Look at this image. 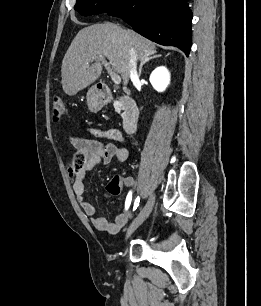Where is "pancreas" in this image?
<instances>
[{"label": "pancreas", "instance_id": "cf45deb5", "mask_svg": "<svg viewBox=\"0 0 261 306\" xmlns=\"http://www.w3.org/2000/svg\"><path fill=\"white\" fill-rule=\"evenodd\" d=\"M122 106V103L121 102H117L115 103V108L118 109Z\"/></svg>", "mask_w": 261, "mask_h": 306}]
</instances>
